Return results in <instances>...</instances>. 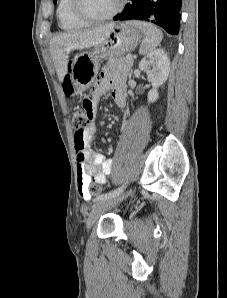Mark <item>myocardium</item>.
I'll list each match as a JSON object with an SVG mask.
<instances>
[{"mask_svg": "<svg viewBox=\"0 0 227 298\" xmlns=\"http://www.w3.org/2000/svg\"><path fill=\"white\" fill-rule=\"evenodd\" d=\"M123 8V0H117L115 8L105 16L102 17H93L88 15L84 9L83 0H73V12L75 16L86 22L87 24L102 23L114 18Z\"/></svg>", "mask_w": 227, "mask_h": 298, "instance_id": "myocardium-1", "label": "myocardium"}]
</instances>
